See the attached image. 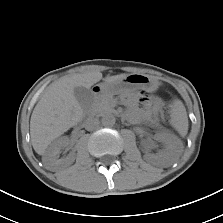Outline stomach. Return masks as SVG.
Listing matches in <instances>:
<instances>
[{
  "label": "stomach",
  "instance_id": "1",
  "mask_svg": "<svg viewBox=\"0 0 223 223\" xmlns=\"http://www.w3.org/2000/svg\"><path fill=\"white\" fill-rule=\"evenodd\" d=\"M158 87V81L145 74H129L117 81H105L98 85L99 92L103 95L124 94L135 89L154 91Z\"/></svg>",
  "mask_w": 223,
  "mask_h": 223
}]
</instances>
